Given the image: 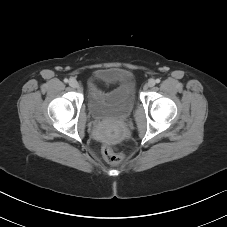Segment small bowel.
<instances>
[{
  "mask_svg": "<svg viewBox=\"0 0 227 227\" xmlns=\"http://www.w3.org/2000/svg\"><path fill=\"white\" fill-rule=\"evenodd\" d=\"M123 86H119L117 89H115L113 92L105 93L96 86H91V92L92 94L102 100H111L119 96V94L122 92Z\"/></svg>",
  "mask_w": 227,
  "mask_h": 227,
  "instance_id": "obj_1",
  "label": "small bowel"
}]
</instances>
